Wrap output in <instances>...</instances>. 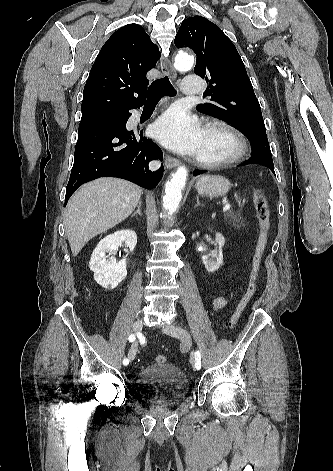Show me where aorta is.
<instances>
[{
  "label": "aorta",
  "mask_w": 333,
  "mask_h": 471,
  "mask_svg": "<svg viewBox=\"0 0 333 471\" xmlns=\"http://www.w3.org/2000/svg\"><path fill=\"white\" fill-rule=\"evenodd\" d=\"M194 63L193 56L188 54H179L175 59V67L179 71H188ZM187 169L184 166L177 168L165 185V195L163 196V206L172 215L177 211L182 199V189L187 180Z\"/></svg>",
  "instance_id": "aorta-1"
}]
</instances>
